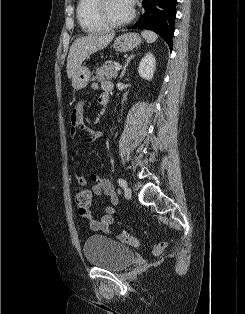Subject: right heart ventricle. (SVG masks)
I'll return each mask as SVG.
<instances>
[{
    "label": "right heart ventricle",
    "mask_w": 245,
    "mask_h": 314,
    "mask_svg": "<svg viewBox=\"0 0 245 314\" xmlns=\"http://www.w3.org/2000/svg\"><path fill=\"white\" fill-rule=\"evenodd\" d=\"M96 0H79L77 4V18L81 28L87 33H101L107 31L95 15Z\"/></svg>",
    "instance_id": "e07e8e85"
}]
</instances>
